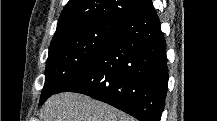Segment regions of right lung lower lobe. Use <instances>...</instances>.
I'll list each match as a JSON object with an SVG mask.
<instances>
[{"instance_id": "1", "label": "right lung lower lobe", "mask_w": 217, "mask_h": 121, "mask_svg": "<svg viewBox=\"0 0 217 121\" xmlns=\"http://www.w3.org/2000/svg\"><path fill=\"white\" fill-rule=\"evenodd\" d=\"M167 86L166 42L151 3L129 19L99 56L56 93H83L139 121H160Z\"/></svg>"}]
</instances>
